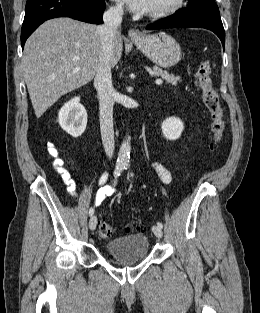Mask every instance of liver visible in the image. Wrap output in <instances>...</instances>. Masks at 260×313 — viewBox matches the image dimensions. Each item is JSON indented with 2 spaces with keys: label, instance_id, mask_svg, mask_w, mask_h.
<instances>
[{
  "label": "liver",
  "instance_id": "6515ba94",
  "mask_svg": "<svg viewBox=\"0 0 260 313\" xmlns=\"http://www.w3.org/2000/svg\"><path fill=\"white\" fill-rule=\"evenodd\" d=\"M122 50L118 31L111 67L120 60ZM100 52L99 26L66 17L46 21L27 39L21 67L37 118L61 96L95 76Z\"/></svg>",
  "mask_w": 260,
  "mask_h": 313
}]
</instances>
